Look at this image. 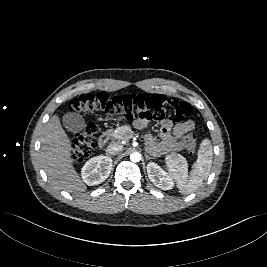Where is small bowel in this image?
Returning a JSON list of instances; mask_svg holds the SVG:
<instances>
[{"instance_id":"1","label":"small bowel","mask_w":267,"mask_h":267,"mask_svg":"<svg viewBox=\"0 0 267 267\" xmlns=\"http://www.w3.org/2000/svg\"><path fill=\"white\" fill-rule=\"evenodd\" d=\"M134 125L138 129H142L146 127L147 122L145 120H137ZM194 126L192 120H186L176 125L163 121L158 138L151 134L146 136L147 147L155 154L181 151L185 147L186 136L194 131Z\"/></svg>"}]
</instances>
